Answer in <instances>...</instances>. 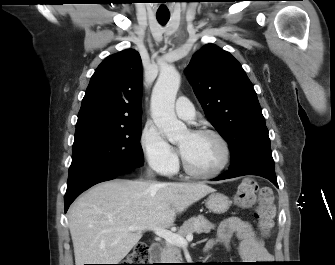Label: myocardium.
Instances as JSON below:
<instances>
[{
    "instance_id": "1",
    "label": "myocardium",
    "mask_w": 335,
    "mask_h": 265,
    "mask_svg": "<svg viewBox=\"0 0 335 265\" xmlns=\"http://www.w3.org/2000/svg\"><path fill=\"white\" fill-rule=\"evenodd\" d=\"M191 134L195 136H212L216 138L222 146L223 157L221 163L214 170L210 172H198L187 164L182 155V167L184 172L196 179H212L219 176L226 169L231 159V148L228 141L221 133L212 129H197L193 130Z\"/></svg>"
}]
</instances>
